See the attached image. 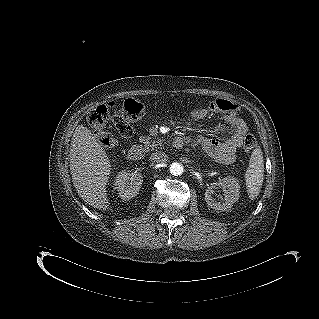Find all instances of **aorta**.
I'll return each mask as SVG.
<instances>
[{
    "instance_id": "obj_1",
    "label": "aorta",
    "mask_w": 319,
    "mask_h": 319,
    "mask_svg": "<svg viewBox=\"0 0 319 319\" xmlns=\"http://www.w3.org/2000/svg\"><path fill=\"white\" fill-rule=\"evenodd\" d=\"M183 172V167L180 163H172L171 166H170V173L172 175H175V176H178V175H181Z\"/></svg>"
}]
</instances>
